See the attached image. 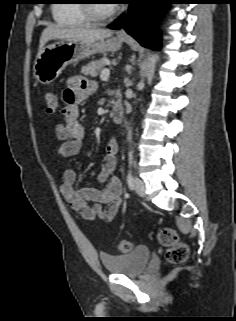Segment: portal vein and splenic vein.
I'll use <instances>...</instances> for the list:
<instances>
[{
	"label": "portal vein and splenic vein",
	"mask_w": 236,
	"mask_h": 321,
	"mask_svg": "<svg viewBox=\"0 0 236 321\" xmlns=\"http://www.w3.org/2000/svg\"><path fill=\"white\" fill-rule=\"evenodd\" d=\"M109 76H110V70L109 69L102 70V72L100 74L101 80L106 81V80H108Z\"/></svg>",
	"instance_id": "18ae733b"
}]
</instances>
